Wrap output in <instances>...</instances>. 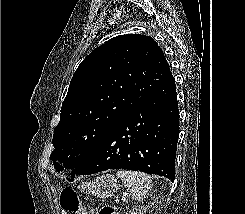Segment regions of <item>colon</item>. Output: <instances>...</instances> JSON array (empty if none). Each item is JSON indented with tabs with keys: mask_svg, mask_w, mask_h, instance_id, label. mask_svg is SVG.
Here are the masks:
<instances>
[{
	"mask_svg": "<svg viewBox=\"0 0 245 214\" xmlns=\"http://www.w3.org/2000/svg\"><path fill=\"white\" fill-rule=\"evenodd\" d=\"M60 205L65 213L74 214H121L118 209L111 205L103 206L99 212L87 209L81 205L77 193L71 188H64L60 196Z\"/></svg>",
	"mask_w": 245,
	"mask_h": 214,
	"instance_id": "colon-1",
	"label": "colon"
}]
</instances>
